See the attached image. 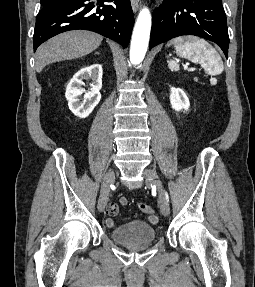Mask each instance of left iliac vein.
<instances>
[{
    "instance_id": "4c4485c4",
    "label": "left iliac vein",
    "mask_w": 255,
    "mask_h": 287,
    "mask_svg": "<svg viewBox=\"0 0 255 287\" xmlns=\"http://www.w3.org/2000/svg\"><path fill=\"white\" fill-rule=\"evenodd\" d=\"M143 176L147 185L154 184L157 187L159 193V204L161 213L164 216H168L170 214V206L163 192V186L156 171L153 169L146 168L143 172Z\"/></svg>"
}]
</instances>
